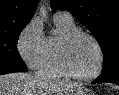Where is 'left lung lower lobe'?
<instances>
[{
  "instance_id": "1",
  "label": "left lung lower lobe",
  "mask_w": 119,
  "mask_h": 95,
  "mask_svg": "<svg viewBox=\"0 0 119 95\" xmlns=\"http://www.w3.org/2000/svg\"><path fill=\"white\" fill-rule=\"evenodd\" d=\"M94 82L95 83H106V82H110V83H115V84L119 85V80L107 81V80L101 79L100 77H98Z\"/></svg>"
}]
</instances>
